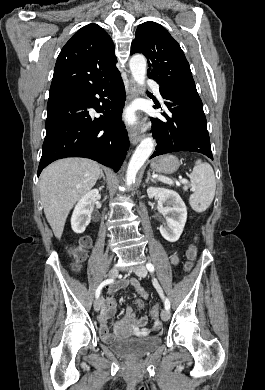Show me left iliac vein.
I'll return each instance as SVG.
<instances>
[{
  "label": "left iliac vein",
  "instance_id": "4c4485c4",
  "mask_svg": "<svg viewBox=\"0 0 265 390\" xmlns=\"http://www.w3.org/2000/svg\"><path fill=\"white\" fill-rule=\"evenodd\" d=\"M135 274L139 277H145L147 275V269L145 266H139L135 269ZM170 317V312L167 309H163L161 312V319L167 321Z\"/></svg>",
  "mask_w": 265,
  "mask_h": 390
}]
</instances>
